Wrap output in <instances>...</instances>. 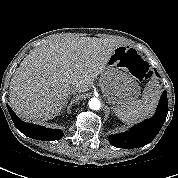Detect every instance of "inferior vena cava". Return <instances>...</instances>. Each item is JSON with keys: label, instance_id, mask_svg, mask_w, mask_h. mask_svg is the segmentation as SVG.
<instances>
[{"label": "inferior vena cava", "instance_id": "obj_1", "mask_svg": "<svg viewBox=\"0 0 178 178\" xmlns=\"http://www.w3.org/2000/svg\"><path fill=\"white\" fill-rule=\"evenodd\" d=\"M78 90H77V88H74L73 90H72V93H76Z\"/></svg>", "mask_w": 178, "mask_h": 178}]
</instances>
